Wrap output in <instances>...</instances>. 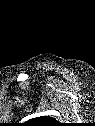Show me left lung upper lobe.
<instances>
[{
	"mask_svg": "<svg viewBox=\"0 0 95 126\" xmlns=\"http://www.w3.org/2000/svg\"><path fill=\"white\" fill-rule=\"evenodd\" d=\"M30 125L32 126H54L56 125L55 120L51 117H38L35 119L30 120Z\"/></svg>",
	"mask_w": 95,
	"mask_h": 126,
	"instance_id": "left-lung-upper-lobe-1",
	"label": "left lung upper lobe"
}]
</instances>
